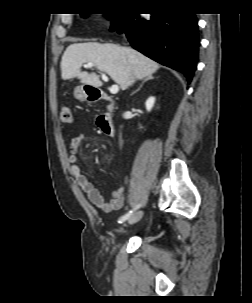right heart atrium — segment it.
Listing matches in <instances>:
<instances>
[{"instance_id": "right-heart-atrium-1", "label": "right heart atrium", "mask_w": 252, "mask_h": 303, "mask_svg": "<svg viewBox=\"0 0 252 303\" xmlns=\"http://www.w3.org/2000/svg\"><path fill=\"white\" fill-rule=\"evenodd\" d=\"M104 24H105L106 27H112L113 26V22L109 19L105 20Z\"/></svg>"}]
</instances>
